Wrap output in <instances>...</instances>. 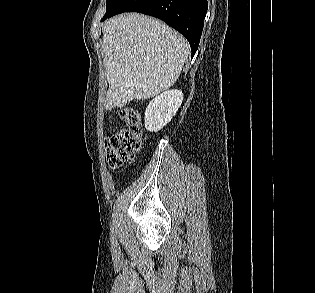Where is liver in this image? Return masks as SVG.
Here are the masks:
<instances>
[{"label":"liver","instance_id":"1","mask_svg":"<svg viewBox=\"0 0 315 293\" xmlns=\"http://www.w3.org/2000/svg\"><path fill=\"white\" fill-rule=\"evenodd\" d=\"M102 45L109 83L105 108L109 111L170 88L190 51L187 40L174 29L138 13L109 19Z\"/></svg>","mask_w":315,"mask_h":293}]
</instances>
